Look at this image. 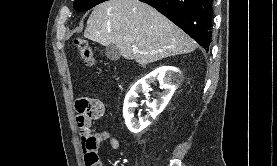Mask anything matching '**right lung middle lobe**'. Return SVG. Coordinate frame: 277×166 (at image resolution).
<instances>
[{
	"mask_svg": "<svg viewBox=\"0 0 277 166\" xmlns=\"http://www.w3.org/2000/svg\"><path fill=\"white\" fill-rule=\"evenodd\" d=\"M104 1L107 0H75L74 9L76 11H87Z\"/></svg>",
	"mask_w": 277,
	"mask_h": 166,
	"instance_id": "right-lung-middle-lobe-1",
	"label": "right lung middle lobe"
}]
</instances>
